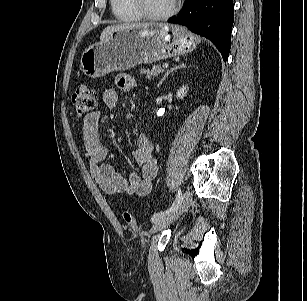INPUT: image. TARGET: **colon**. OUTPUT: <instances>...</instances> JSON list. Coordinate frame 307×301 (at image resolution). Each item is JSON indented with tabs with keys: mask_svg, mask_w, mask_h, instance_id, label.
Masks as SVG:
<instances>
[{
	"mask_svg": "<svg viewBox=\"0 0 307 301\" xmlns=\"http://www.w3.org/2000/svg\"><path fill=\"white\" fill-rule=\"evenodd\" d=\"M72 105L76 116L80 118L88 117L97 105L95 89L89 85H79L72 95ZM123 216L129 226L136 227V221L129 211H125Z\"/></svg>",
	"mask_w": 307,
	"mask_h": 301,
	"instance_id": "1",
	"label": "colon"
}]
</instances>
